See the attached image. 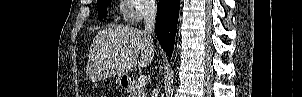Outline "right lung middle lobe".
Here are the masks:
<instances>
[{
    "instance_id": "obj_1",
    "label": "right lung middle lobe",
    "mask_w": 302,
    "mask_h": 97,
    "mask_svg": "<svg viewBox=\"0 0 302 97\" xmlns=\"http://www.w3.org/2000/svg\"><path fill=\"white\" fill-rule=\"evenodd\" d=\"M111 0H99L97 1V10H98V16L102 20L103 18H106L107 14V6Z\"/></svg>"
}]
</instances>
